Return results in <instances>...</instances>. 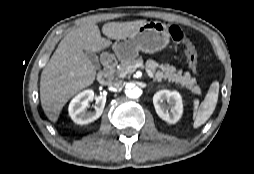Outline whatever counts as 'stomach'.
Segmentation results:
<instances>
[{"mask_svg": "<svg viewBox=\"0 0 254 174\" xmlns=\"http://www.w3.org/2000/svg\"><path fill=\"white\" fill-rule=\"evenodd\" d=\"M169 43V32L165 24L147 22L137 32L116 40L113 50L119 60L135 58L139 51L154 53L164 49Z\"/></svg>", "mask_w": 254, "mask_h": 174, "instance_id": "1", "label": "stomach"}]
</instances>
